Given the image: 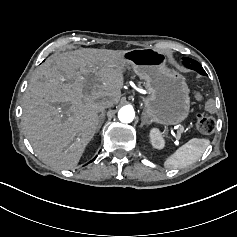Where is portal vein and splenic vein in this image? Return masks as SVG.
Segmentation results:
<instances>
[{
  "label": "portal vein and splenic vein",
  "mask_w": 237,
  "mask_h": 237,
  "mask_svg": "<svg viewBox=\"0 0 237 237\" xmlns=\"http://www.w3.org/2000/svg\"><path fill=\"white\" fill-rule=\"evenodd\" d=\"M180 133L181 135H184L183 124H180Z\"/></svg>",
  "instance_id": "1"
}]
</instances>
